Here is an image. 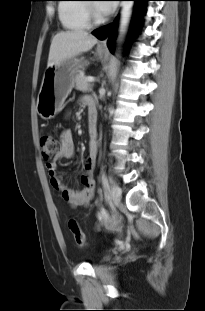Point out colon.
I'll return each instance as SVG.
<instances>
[{
    "label": "colon",
    "mask_w": 205,
    "mask_h": 311,
    "mask_svg": "<svg viewBox=\"0 0 205 311\" xmlns=\"http://www.w3.org/2000/svg\"><path fill=\"white\" fill-rule=\"evenodd\" d=\"M60 141L51 135H43L41 138L42 157L46 162H49L53 156L60 150ZM69 230L73 236L75 243L79 247L86 246V237L78 222L75 219H70L68 222Z\"/></svg>",
    "instance_id": "5ec220e1"
}]
</instances>
